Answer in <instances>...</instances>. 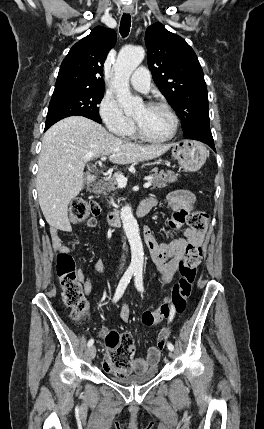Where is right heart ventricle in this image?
I'll use <instances>...</instances> for the list:
<instances>
[{
	"label": "right heart ventricle",
	"mask_w": 264,
	"mask_h": 429,
	"mask_svg": "<svg viewBox=\"0 0 264 429\" xmlns=\"http://www.w3.org/2000/svg\"><path fill=\"white\" fill-rule=\"evenodd\" d=\"M128 136H134V130H132V131L128 134Z\"/></svg>",
	"instance_id": "right-heart-ventricle-1"
}]
</instances>
